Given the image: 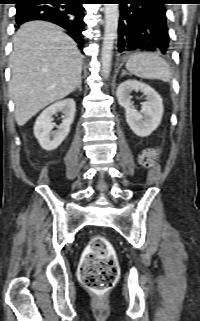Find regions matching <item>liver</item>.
Returning a JSON list of instances; mask_svg holds the SVG:
<instances>
[{"mask_svg":"<svg viewBox=\"0 0 200 321\" xmlns=\"http://www.w3.org/2000/svg\"><path fill=\"white\" fill-rule=\"evenodd\" d=\"M9 94L15 119L25 125L40 110L69 95L81 80L82 55L58 26L23 24L13 38Z\"/></svg>","mask_w":200,"mask_h":321,"instance_id":"6515ba94","label":"liver"}]
</instances>
